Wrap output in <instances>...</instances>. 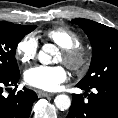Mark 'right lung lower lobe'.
<instances>
[{
    "instance_id": "obj_1",
    "label": "right lung lower lobe",
    "mask_w": 118,
    "mask_h": 118,
    "mask_svg": "<svg viewBox=\"0 0 118 118\" xmlns=\"http://www.w3.org/2000/svg\"><path fill=\"white\" fill-rule=\"evenodd\" d=\"M19 80V74L8 79H0V118H29L32 105L37 99L34 91L23 88L16 92L11 91L6 97L3 94L4 89L9 86H16Z\"/></svg>"
}]
</instances>
